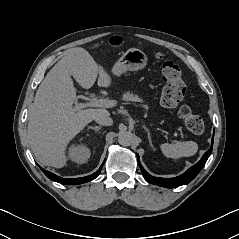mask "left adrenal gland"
Segmentation results:
<instances>
[{"mask_svg":"<svg viewBox=\"0 0 239 239\" xmlns=\"http://www.w3.org/2000/svg\"><path fill=\"white\" fill-rule=\"evenodd\" d=\"M143 128H144V129L146 130V132H147V136H148V140H149L150 146L152 147L153 150H155V148H154V146H153V144H152L151 134H150L149 129H148L145 125H143Z\"/></svg>","mask_w":239,"mask_h":239,"instance_id":"a2214340","label":"left adrenal gland"}]
</instances>
